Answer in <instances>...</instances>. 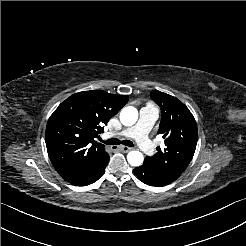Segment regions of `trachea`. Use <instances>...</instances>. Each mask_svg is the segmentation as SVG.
<instances>
[{
  "mask_svg": "<svg viewBox=\"0 0 246 246\" xmlns=\"http://www.w3.org/2000/svg\"><path fill=\"white\" fill-rule=\"evenodd\" d=\"M103 142L105 144H107V145H119V144H123V145L129 146V147H133L134 146L133 142H131L129 140L120 141L117 138L108 139V140L103 141Z\"/></svg>",
  "mask_w": 246,
  "mask_h": 246,
  "instance_id": "3493384b",
  "label": "trachea"
}]
</instances>
